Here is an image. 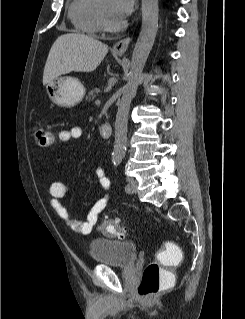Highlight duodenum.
<instances>
[{
	"label": "duodenum",
	"instance_id": "obj_1",
	"mask_svg": "<svg viewBox=\"0 0 245 319\" xmlns=\"http://www.w3.org/2000/svg\"><path fill=\"white\" fill-rule=\"evenodd\" d=\"M100 134L104 139H108L112 136V127L109 123H103L100 126Z\"/></svg>",
	"mask_w": 245,
	"mask_h": 319
}]
</instances>
